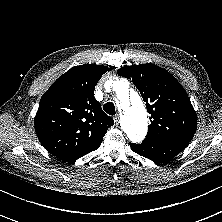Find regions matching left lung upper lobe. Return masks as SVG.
I'll list each match as a JSON object with an SVG mask.
<instances>
[{"instance_id":"1","label":"left lung upper lobe","mask_w":222,"mask_h":222,"mask_svg":"<svg viewBox=\"0 0 222 222\" xmlns=\"http://www.w3.org/2000/svg\"><path fill=\"white\" fill-rule=\"evenodd\" d=\"M117 73L132 79L151 114L145 141L190 142L197 115L185 89L172 74L150 63L122 67Z\"/></svg>"}]
</instances>
